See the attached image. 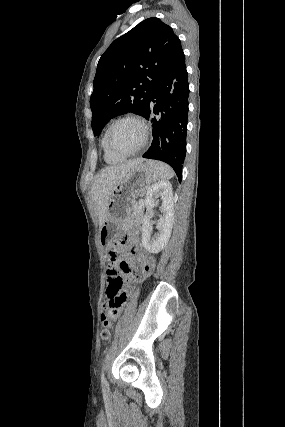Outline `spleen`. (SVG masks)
Listing matches in <instances>:
<instances>
[{
	"instance_id": "spleen-1",
	"label": "spleen",
	"mask_w": 285,
	"mask_h": 427,
	"mask_svg": "<svg viewBox=\"0 0 285 427\" xmlns=\"http://www.w3.org/2000/svg\"><path fill=\"white\" fill-rule=\"evenodd\" d=\"M147 164L153 169L157 180H169L174 176L172 168L163 162L147 160Z\"/></svg>"
}]
</instances>
